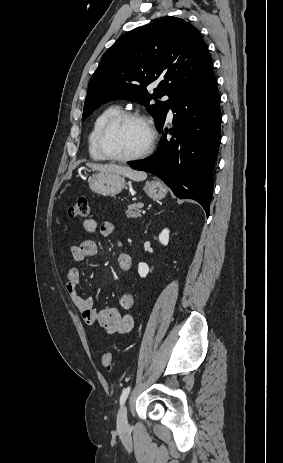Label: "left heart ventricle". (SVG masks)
Returning a JSON list of instances; mask_svg holds the SVG:
<instances>
[{"mask_svg":"<svg viewBox=\"0 0 283 463\" xmlns=\"http://www.w3.org/2000/svg\"><path fill=\"white\" fill-rule=\"evenodd\" d=\"M149 140L145 126L138 120L129 119L114 127L108 135V149L118 156H132L141 152Z\"/></svg>","mask_w":283,"mask_h":463,"instance_id":"b2bd125f","label":"left heart ventricle"}]
</instances>
